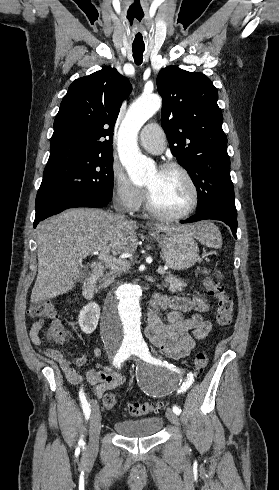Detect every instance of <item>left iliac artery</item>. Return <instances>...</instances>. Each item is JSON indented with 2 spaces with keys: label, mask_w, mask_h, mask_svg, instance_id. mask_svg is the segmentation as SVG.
Returning <instances> with one entry per match:
<instances>
[{
  "label": "left iliac artery",
  "mask_w": 279,
  "mask_h": 490,
  "mask_svg": "<svg viewBox=\"0 0 279 490\" xmlns=\"http://www.w3.org/2000/svg\"><path fill=\"white\" fill-rule=\"evenodd\" d=\"M140 348H141L142 352L144 353V355L147 357V359H148L149 362H152V363H155V364H161V361L160 360H156L155 358L151 357V355H150V353L148 351L149 349H148V347H147L146 344L141 345ZM163 365H165V364L163 363ZM167 367L168 368H173V370L177 371V369L174 368L175 366H173V365H168L167 364ZM193 382H194V377H193V374L190 372V373L187 374V380L185 382H183L180 390H178V393L183 392V391H186ZM173 412L176 415H179L181 413V409L179 407H177V406H174L173 407Z\"/></svg>",
  "instance_id": "obj_1"
}]
</instances>
